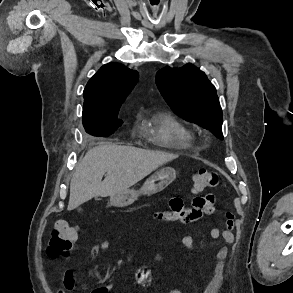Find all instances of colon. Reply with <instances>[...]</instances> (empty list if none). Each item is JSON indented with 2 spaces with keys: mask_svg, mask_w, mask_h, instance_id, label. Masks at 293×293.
<instances>
[{
  "mask_svg": "<svg viewBox=\"0 0 293 293\" xmlns=\"http://www.w3.org/2000/svg\"><path fill=\"white\" fill-rule=\"evenodd\" d=\"M221 175L215 171L200 169L193 175V191L202 192L209 188H214L220 184ZM199 202L194 199V203ZM228 227L234 226V216L228 214ZM78 230L73 225L59 220L55 223L51 238L48 242L46 253L50 258L66 257L70 254L73 243L77 238Z\"/></svg>",
  "mask_w": 293,
  "mask_h": 293,
  "instance_id": "1",
  "label": "colon"
}]
</instances>
